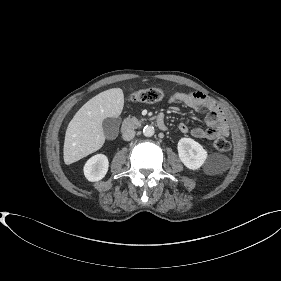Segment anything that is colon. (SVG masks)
I'll list each match as a JSON object with an SVG mask.
<instances>
[{"instance_id": "1", "label": "colon", "mask_w": 281, "mask_h": 281, "mask_svg": "<svg viewBox=\"0 0 281 281\" xmlns=\"http://www.w3.org/2000/svg\"><path fill=\"white\" fill-rule=\"evenodd\" d=\"M163 91L159 88H147L133 92L130 95V100L135 102L152 103L161 100ZM213 148L217 151L224 152L230 149V143L225 138H216L213 143Z\"/></svg>"}]
</instances>
